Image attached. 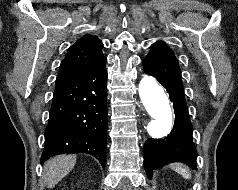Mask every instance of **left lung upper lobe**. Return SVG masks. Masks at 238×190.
<instances>
[{
    "label": "left lung upper lobe",
    "mask_w": 238,
    "mask_h": 190,
    "mask_svg": "<svg viewBox=\"0 0 238 190\" xmlns=\"http://www.w3.org/2000/svg\"><path fill=\"white\" fill-rule=\"evenodd\" d=\"M156 53L175 56L174 52L167 46V44L163 41H158L151 46V50Z\"/></svg>",
    "instance_id": "1"
}]
</instances>
